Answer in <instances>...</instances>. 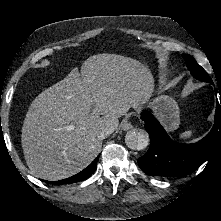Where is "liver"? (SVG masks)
<instances>
[{"instance_id":"1","label":"liver","mask_w":221,"mask_h":221,"mask_svg":"<svg viewBox=\"0 0 221 221\" xmlns=\"http://www.w3.org/2000/svg\"><path fill=\"white\" fill-rule=\"evenodd\" d=\"M153 88L150 70L135 59L89 57L80 72L73 69L29 107L21 143L30 173L55 181L83 170L101 151L100 129H117L118 118L148 101Z\"/></svg>"}]
</instances>
